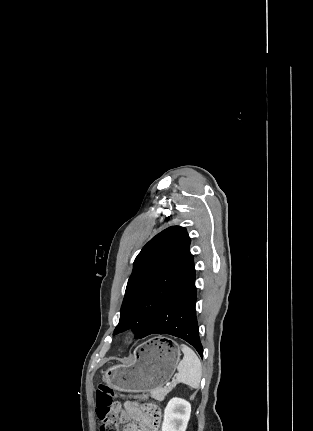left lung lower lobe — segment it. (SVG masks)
I'll return each instance as SVG.
<instances>
[{
  "label": "left lung lower lobe",
  "mask_w": 313,
  "mask_h": 431,
  "mask_svg": "<svg viewBox=\"0 0 313 431\" xmlns=\"http://www.w3.org/2000/svg\"><path fill=\"white\" fill-rule=\"evenodd\" d=\"M196 299L194 278L161 308L138 338L152 334L173 335L187 341L203 357L195 311Z\"/></svg>",
  "instance_id": "1"
}]
</instances>
